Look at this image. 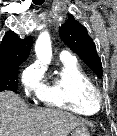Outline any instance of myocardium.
Returning a JSON list of instances; mask_svg holds the SVG:
<instances>
[{"label": "myocardium", "mask_w": 117, "mask_h": 136, "mask_svg": "<svg viewBox=\"0 0 117 136\" xmlns=\"http://www.w3.org/2000/svg\"><path fill=\"white\" fill-rule=\"evenodd\" d=\"M86 98L88 101H90L92 104H95L100 107V105L103 103L104 96L101 92V90L93 85L91 88L87 90Z\"/></svg>", "instance_id": "myocardium-1"}]
</instances>
